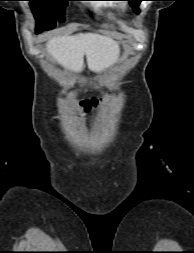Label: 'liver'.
<instances>
[{
  "label": "liver",
  "instance_id": "6515ba94",
  "mask_svg": "<svg viewBox=\"0 0 194 253\" xmlns=\"http://www.w3.org/2000/svg\"><path fill=\"white\" fill-rule=\"evenodd\" d=\"M49 55L74 72L83 70L84 55L93 72H101L118 60L119 45L112 38L97 33H79L53 37L47 42Z\"/></svg>",
  "mask_w": 194,
  "mask_h": 253
}]
</instances>
